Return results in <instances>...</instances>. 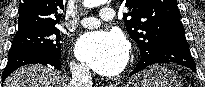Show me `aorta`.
I'll return each mask as SVG.
<instances>
[{"instance_id":"1","label":"aorta","mask_w":205,"mask_h":87,"mask_svg":"<svg viewBox=\"0 0 205 87\" xmlns=\"http://www.w3.org/2000/svg\"><path fill=\"white\" fill-rule=\"evenodd\" d=\"M105 2L106 0H84L83 5L86 8H94V7L104 4Z\"/></svg>"}]
</instances>
